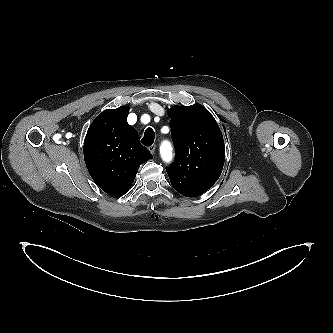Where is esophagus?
<instances>
[{
	"label": "esophagus",
	"instance_id": "obj_1",
	"mask_svg": "<svg viewBox=\"0 0 333 333\" xmlns=\"http://www.w3.org/2000/svg\"><path fill=\"white\" fill-rule=\"evenodd\" d=\"M149 151L151 152V154H154L155 153V150H156V145H151L148 147Z\"/></svg>",
	"mask_w": 333,
	"mask_h": 333
}]
</instances>
